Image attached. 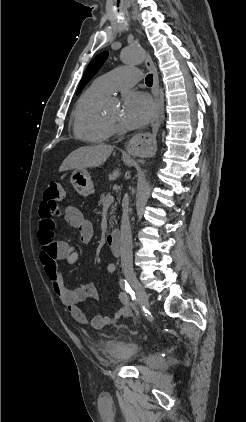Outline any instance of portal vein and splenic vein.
<instances>
[{
  "mask_svg": "<svg viewBox=\"0 0 246 422\" xmlns=\"http://www.w3.org/2000/svg\"><path fill=\"white\" fill-rule=\"evenodd\" d=\"M113 201H114V197L113 196H111V195H109L108 197H107V199H106V202H105V206H109L110 204H112L113 203Z\"/></svg>",
  "mask_w": 246,
  "mask_h": 422,
  "instance_id": "portal-vein-and-splenic-vein-1",
  "label": "portal vein and splenic vein"
}]
</instances>
